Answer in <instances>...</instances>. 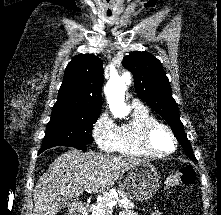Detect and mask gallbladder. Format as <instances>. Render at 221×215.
<instances>
[{"label":"gallbladder","mask_w":221,"mask_h":215,"mask_svg":"<svg viewBox=\"0 0 221 215\" xmlns=\"http://www.w3.org/2000/svg\"><path fill=\"white\" fill-rule=\"evenodd\" d=\"M71 203V199L69 198H62L60 202V208H65Z\"/></svg>","instance_id":"obj_1"}]
</instances>
